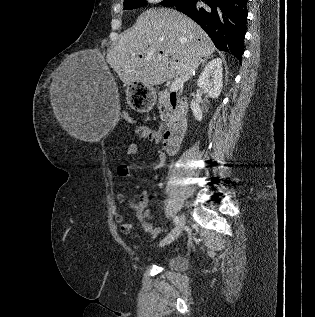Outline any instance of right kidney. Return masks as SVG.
<instances>
[{"label":"right kidney","mask_w":315,"mask_h":317,"mask_svg":"<svg viewBox=\"0 0 315 317\" xmlns=\"http://www.w3.org/2000/svg\"><path fill=\"white\" fill-rule=\"evenodd\" d=\"M223 69L222 60L215 58L211 60L202 71L197 86L209 95L212 99L218 98L223 87ZM191 110L196 120H202V110L200 105L192 101L190 104Z\"/></svg>","instance_id":"1"}]
</instances>
